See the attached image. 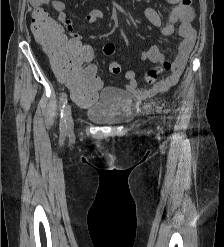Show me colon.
Wrapping results in <instances>:
<instances>
[{
  "label": "colon",
  "instance_id": "1",
  "mask_svg": "<svg viewBox=\"0 0 224 247\" xmlns=\"http://www.w3.org/2000/svg\"><path fill=\"white\" fill-rule=\"evenodd\" d=\"M31 29L37 42L52 54L51 67L70 88L74 101L80 106L92 104L97 98L99 84L98 71L91 64L92 48L67 38L60 25L50 18L43 8L34 11ZM114 51L112 44L103 47V54L107 58H112ZM170 69V61L165 60L159 67L150 69L147 78L153 81L157 74ZM109 70L113 75H120L119 62L112 60Z\"/></svg>",
  "mask_w": 224,
  "mask_h": 247
}]
</instances>
